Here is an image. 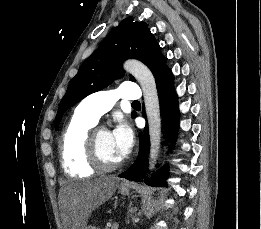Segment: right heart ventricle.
<instances>
[{"instance_id":"e07e8e85","label":"right heart ventricle","mask_w":261,"mask_h":229,"mask_svg":"<svg viewBox=\"0 0 261 229\" xmlns=\"http://www.w3.org/2000/svg\"><path fill=\"white\" fill-rule=\"evenodd\" d=\"M95 125L79 105L73 109L58 143L61 164L67 173L77 176H91L95 173L96 168L89 157L91 130Z\"/></svg>"}]
</instances>
